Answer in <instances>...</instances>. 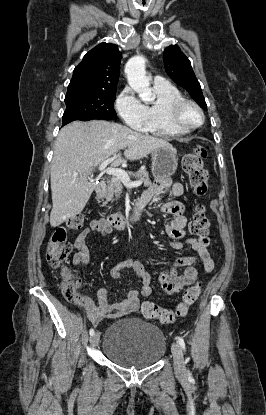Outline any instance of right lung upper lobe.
<instances>
[{
	"label": "right lung upper lobe",
	"mask_w": 266,
	"mask_h": 415,
	"mask_svg": "<svg viewBox=\"0 0 266 415\" xmlns=\"http://www.w3.org/2000/svg\"><path fill=\"white\" fill-rule=\"evenodd\" d=\"M121 57L115 44L97 45L75 67L67 92L116 90Z\"/></svg>",
	"instance_id": "1"
}]
</instances>
